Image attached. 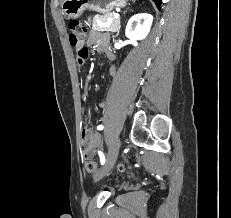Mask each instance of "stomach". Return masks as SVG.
<instances>
[{"mask_svg":"<svg viewBox=\"0 0 231 218\" xmlns=\"http://www.w3.org/2000/svg\"><path fill=\"white\" fill-rule=\"evenodd\" d=\"M128 0H63L62 10L68 18L80 17L86 9L110 13L114 8H123Z\"/></svg>","mask_w":231,"mask_h":218,"instance_id":"stomach-1","label":"stomach"}]
</instances>
